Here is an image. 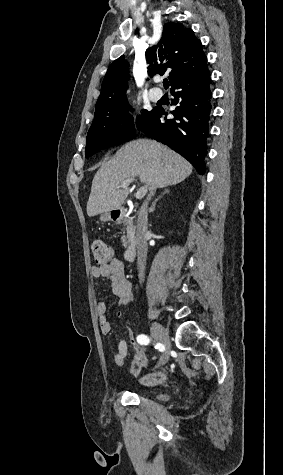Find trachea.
Returning a JSON list of instances; mask_svg holds the SVG:
<instances>
[{
  "label": "trachea",
  "mask_w": 283,
  "mask_h": 475,
  "mask_svg": "<svg viewBox=\"0 0 283 475\" xmlns=\"http://www.w3.org/2000/svg\"><path fill=\"white\" fill-rule=\"evenodd\" d=\"M164 88L167 89L169 87V82L167 80L163 81Z\"/></svg>",
  "instance_id": "trachea-1"
}]
</instances>
